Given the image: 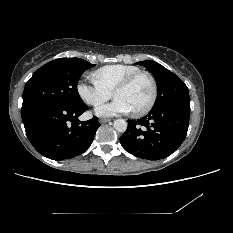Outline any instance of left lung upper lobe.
<instances>
[{
	"mask_svg": "<svg viewBox=\"0 0 233 233\" xmlns=\"http://www.w3.org/2000/svg\"><path fill=\"white\" fill-rule=\"evenodd\" d=\"M136 64L146 67L157 81L158 97L153 108L181 100H190L187 86L177 75L154 61L148 60Z\"/></svg>",
	"mask_w": 233,
	"mask_h": 233,
	"instance_id": "5c2ea615",
	"label": "left lung upper lobe"
}]
</instances>
